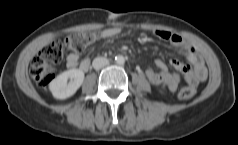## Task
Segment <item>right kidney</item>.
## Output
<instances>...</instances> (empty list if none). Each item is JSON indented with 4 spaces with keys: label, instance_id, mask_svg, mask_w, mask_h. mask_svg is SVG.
I'll return each mask as SVG.
<instances>
[{
    "label": "right kidney",
    "instance_id": "right-kidney-1",
    "mask_svg": "<svg viewBox=\"0 0 238 145\" xmlns=\"http://www.w3.org/2000/svg\"><path fill=\"white\" fill-rule=\"evenodd\" d=\"M84 81V72L80 69H70L54 78L49 89L56 99H66L73 96Z\"/></svg>",
    "mask_w": 238,
    "mask_h": 145
}]
</instances>
